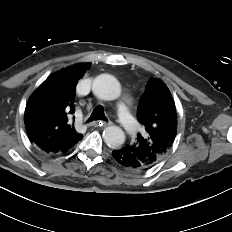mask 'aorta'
Returning a JSON list of instances; mask_svg holds the SVG:
<instances>
[{
	"label": "aorta",
	"mask_w": 232,
	"mask_h": 232,
	"mask_svg": "<svg viewBox=\"0 0 232 232\" xmlns=\"http://www.w3.org/2000/svg\"><path fill=\"white\" fill-rule=\"evenodd\" d=\"M94 95L102 100H116L121 95V86L117 79L109 74L99 75L92 84ZM105 143L111 148L120 147L125 142V133L118 126L106 127L103 132Z\"/></svg>",
	"instance_id": "762f6f07"
}]
</instances>
